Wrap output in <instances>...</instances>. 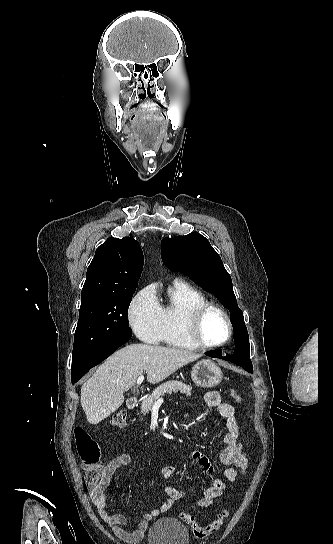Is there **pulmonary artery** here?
Masks as SVG:
<instances>
[{
    "mask_svg": "<svg viewBox=\"0 0 333 544\" xmlns=\"http://www.w3.org/2000/svg\"><path fill=\"white\" fill-rule=\"evenodd\" d=\"M175 282H180V280L177 279V280H175Z\"/></svg>",
    "mask_w": 333,
    "mask_h": 544,
    "instance_id": "obj_1",
    "label": "pulmonary artery"
}]
</instances>
